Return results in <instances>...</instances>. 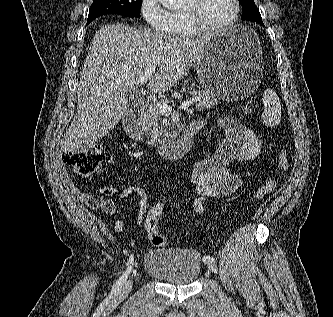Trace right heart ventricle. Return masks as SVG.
I'll list each match as a JSON object with an SVG mask.
<instances>
[{"label": "right heart ventricle", "instance_id": "1", "mask_svg": "<svg viewBox=\"0 0 333 317\" xmlns=\"http://www.w3.org/2000/svg\"><path fill=\"white\" fill-rule=\"evenodd\" d=\"M171 14L170 34L175 38L187 39L197 35L193 29L189 27L180 10H176Z\"/></svg>", "mask_w": 333, "mask_h": 317}]
</instances>
